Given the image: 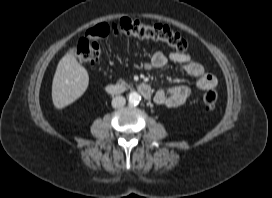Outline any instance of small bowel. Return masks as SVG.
I'll return each mask as SVG.
<instances>
[{"label":"small bowel","instance_id":"1","mask_svg":"<svg viewBox=\"0 0 272 198\" xmlns=\"http://www.w3.org/2000/svg\"><path fill=\"white\" fill-rule=\"evenodd\" d=\"M169 62L177 65L186 74L195 78V85L200 90L214 88L217 85V78L213 74L207 73L204 67L187 53L156 52L145 63V67L148 69H160ZM191 92V88L186 85L161 89L155 93L154 101L156 104L166 108H175L184 104L190 98Z\"/></svg>","mask_w":272,"mask_h":198}]
</instances>
